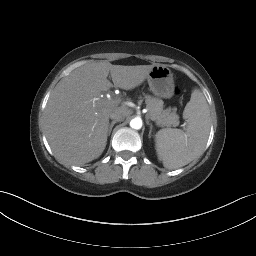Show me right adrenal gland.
Returning <instances> with one entry per match:
<instances>
[{"mask_svg": "<svg viewBox=\"0 0 256 256\" xmlns=\"http://www.w3.org/2000/svg\"><path fill=\"white\" fill-rule=\"evenodd\" d=\"M117 123V121H112L109 126H108V136L111 134L112 128L114 127V125Z\"/></svg>", "mask_w": 256, "mask_h": 256, "instance_id": "right-adrenal-gland-1", "label": "right adrenal gland"}]
</instances>
